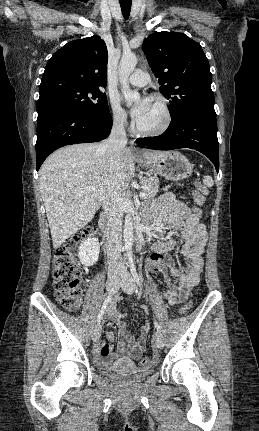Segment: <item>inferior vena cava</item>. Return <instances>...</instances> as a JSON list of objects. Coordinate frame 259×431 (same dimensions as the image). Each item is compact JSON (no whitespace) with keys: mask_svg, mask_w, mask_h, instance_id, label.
<instances>
[{"mask_svg":"<svg viewBox=\"0 0 259 431\" xmlns=\"http://www.w3.org/2000/svg\"><path fill=\"white\" fill-rule=\"evenodd\" d=\"M124 117L116 118L113 122L109 137L99 146V152H105L107 162L113 171L121 161L122 151L127 144L124 129ZM103 208L107 216L106 248L109 265L118 263L122 250V206L120 202V191L113 188L106 194Z\"/></svg>","mask_w":259,"mask_h":431,"instance_id":"obj_1","label":"inferior vena cava"}]
</instances>
